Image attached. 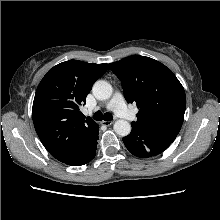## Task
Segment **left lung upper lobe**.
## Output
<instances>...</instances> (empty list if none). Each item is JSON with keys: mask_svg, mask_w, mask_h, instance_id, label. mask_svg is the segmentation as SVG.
<instances>
[{"mask_svg": "<svg viewBox=\"0 0 220 220\" xmlns=\"http://www.w3.org/2000/svg\"><path fill=\"white\" fill-rule=\"evenodd\" d=\"M120 79L124 97L139 112L132 127L151 132V137L172 143L178 135L186 108L184 88L173 72L145 56H129L109 64Z\"/></svg>", "mask_w": 220, "mask_h": 220, "instance_id": "left-lung-upper-lobe-1", "label": "left lung upper lobe"}]
</instances>
